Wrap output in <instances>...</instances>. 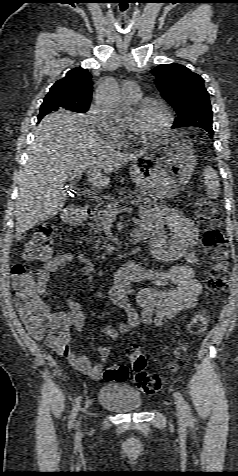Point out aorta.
Masks as SVG:
<instances>
[{
  "label": "aorta",
  "mask_w": 238,
  "mask_h": 476,
  "mask_svg": "<svg viewBox=\"0 0 238 476\" xmlns=\"http://www.w3.org/2000/svg\"><path fill=\"white\" fill-rule=\"evenodd\" d=\"M96 102L100 110L112 120L120 119L129 111L128 107L122 102L118 86L112 78L102 82L96 95Z\"/></svg>",
  "instance_id": "1"
}]
</instances>
